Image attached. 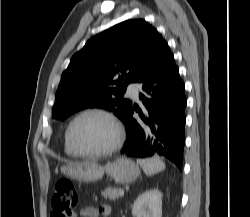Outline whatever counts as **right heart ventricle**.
<instances>
[{"label": "right heart ventricle", "instance_id": "right-heart-ventricle-1", "mask_svg": "<svg viewBox=\"0 0 250 217\" xmlns=\"http://www.w3.org/2000/svg\"><path fill=\"white\" fill-rule=\"evenodd\" d=\"M64 151H65V153H66L68 156H71V157L77 156V155L74 153V151L71 149V147L69 146V144H68L66 132H65V136H64Z\"/></svg>", "mask_w": 250, "mask_h": 217}]
</instances>
